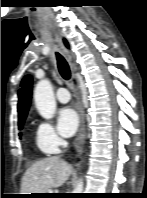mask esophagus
Listing matches in <instances>:
<instances>
[{"instance_id":"obj_1","label":"esophagus","mask_w":147,"mask_h":198,"mask_svg":"<svg viewBox=\"0 0 147 198\" xmlns=\"http://www.w3.org/2000/svg\"><path fill=\"white\" fill-rule=\"evenodd\" d=\"M72 83H73L75 92L77 93V95H80L79 82L76 77V68L74 66H72ZM79 112H80L81 127H80V132H79L77 140H78V144H82L86 137L85 117H84V110L82 106H80Z\"/></svg>"}]
</instances>
